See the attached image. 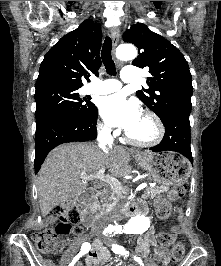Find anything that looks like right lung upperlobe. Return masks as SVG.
I'll use <instances>...</instances> for the list:
<instances>
[{"mask_svg":"<svg viewBox=\"0 0 221 266\" xmlns=\"http://www.w3.org/2000/svg\"><path fill=\"white\" fill-rule=\"evenodd\" d=\"M101 26L87 19L63 36L44 56L36 88L67 86L80 88L82 77L98 76L101 66Z\"/></svg>","mask_w":221,"mask_h":266,"instance_id":"1","label":"right lung upper lobe"}]
</instances>
